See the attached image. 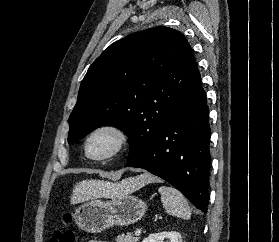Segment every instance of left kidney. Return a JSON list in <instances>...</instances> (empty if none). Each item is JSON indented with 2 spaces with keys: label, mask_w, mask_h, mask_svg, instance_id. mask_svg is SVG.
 <instances>
[{
  "label": "left kidney",
  "mask_w": 279,
  "mask_h": 242,
  "mask_svg": "<svg viewBox=\"0 0 279 242\" xmlns=\"http://www.w3.org/2000/svg\"><path fill=\"white\" fill-rule=\"evenodd\" d=\"M165 238L169 239V242H182L181 234L176 231L154 233L149 235L142 242H164Z\"/></svg>",
  "instance_id": "1"
}]
</instances>
